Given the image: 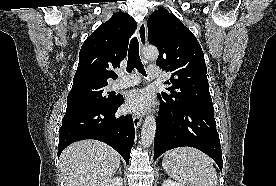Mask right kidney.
<instances>
[{"instance_id":"1","label":"right kidney","mask_w":276,"mask_h":186,"mask_svg":"<svg viewBox=\"0 0 276 186\" xmlns=\"http://www.w3.org/2000/svg\"><path fill=\"white\" fill-rule=\"evenodd\" d=\"M105 186H123V179L121 177H115Z\"/></svg>"}]
</instances>
